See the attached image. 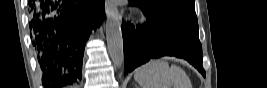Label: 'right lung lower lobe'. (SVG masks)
<instances>
[{
  "mask_svg": "<svg viewBox=\"0 0 267 88\" xmlns=\"http://www.w3.org/2000/svg\"><path fill=\"white\" fill-rule=\"evenodd\" d=\"M105 0H29L30 36L45 88L82 77L86 41L102 22Z\"/></svg>",
  "mask_w": 267,
  "mask_h": 88,
  "instance_id": "98d812e1",
  "label": "right lung lower lobe"
}]
</instances>
